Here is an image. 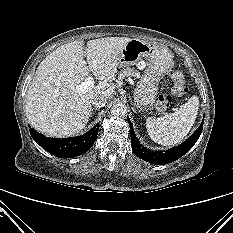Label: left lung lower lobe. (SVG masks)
<instances>
[{"label": "left lung lower lobe", "instance_id": "obj_1", "mask_svg": "<svg viewBox=\"0 0 233 233\" xmlns=\"http://www.w3.org/2000/svg\"><path fill=\"white\" fill-rule=\"evenodd\" d=\"M127 120L130 125L131 144L134 153L139 158L156 165H164L171 163L182 157L184 154H186L194 146V144L197 142L198 138L200 137L204 123L203 120L201 125L196 129V131L181 145L166 151H153V150L151 151L145 148L142 144H140L133 130L132 123L128 117Z\"/></svg>", "mask_w": 233, "mask_h": 233}]
</instances>
